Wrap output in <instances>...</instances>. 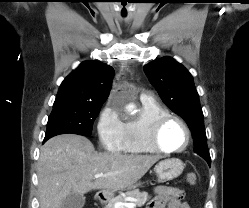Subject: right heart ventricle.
<instances>
[{
	"mask_svg": "<svg viewBox=\"0 0 249 208\" xmlns=\"http://www.w3.org/2000/svg\"><path fill=\"white\" fill-rule=\"evenodd\" d=\"M169 114L168 109L153 100H141L137 116L124 125V142L122 152L127 154L155 153L148 146L147 136L153 122L162 115Z\"/></svg>",
	"mask_w": 249,
	"mask_h": 208,
	"instance_id": "right-heart-ventricle-1",
	"label": "right heart ventricle"
}]
</instances>
